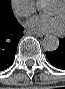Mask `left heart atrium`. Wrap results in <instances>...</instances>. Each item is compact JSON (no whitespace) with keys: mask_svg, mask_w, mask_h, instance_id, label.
Instances as JSON below:
<instances>
[{"mask_svg":"<svg viewBox=\"0 0 65 89\" xmlns=\"http://www.w3.org/2000/svg\"><path fill=\"white\" fill-rule=\"evenodd\" d=\"M28 28L39 33H62L65 24L61 16L38 15L27 22Z\"/></svg>","mask_w":65,"mask_h":89,"instance_id":"39dd6f15","label":"left heart atrium"}]
</instances>
